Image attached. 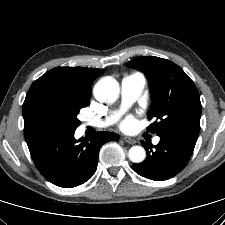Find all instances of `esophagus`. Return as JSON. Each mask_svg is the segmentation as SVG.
Masks as SVG:
<instances>
[{
    "instance_id": "esophagus-1",
    "label": "esophagus",
    "mask_w": 225,
    "mask_h": 225,
    "mask_svg": "<svg viewBox=\"0 0 225 225\" xmlns=\"http://www.w3.org/2000/svg\"><path fill=\"white\" fill-rule=\"evenodd\" d=\"M123 139L126 143H129V144H135L137 142L134 138H131L128 136H125Z\"/></svg>"
}]
</instances>
